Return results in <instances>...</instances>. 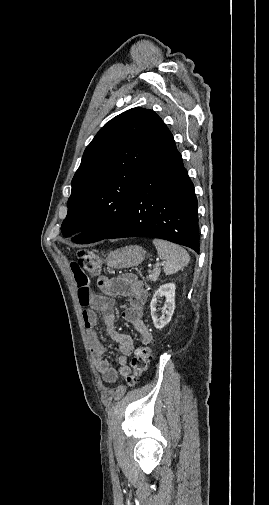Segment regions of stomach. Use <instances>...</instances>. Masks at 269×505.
<instances>
[{"label":"stomach","mask_w":269,"mask_h":505,"mask_svg":"<svg viewBox=\"0 0 269 505\" xmlns=\"http://www.w3.org/2000/svg\"><path fill=\"white\" fill-rule=\"evenodd\" d=\"M146 257V251L138 245L126 246L111 251L106 257V264L111 269L130 268L139 265Z\"/></svg>","instance_id":"1"}]
</instances>
